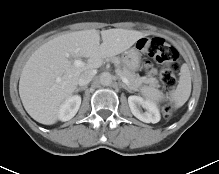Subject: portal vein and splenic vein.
Masks as SVG:
<instances>
[{
    "label": "portal vein and splenic vein",
    "mask_w": 219,
    "mask_h": 174,
    "mask_svg": "<svg viewBox=\"0 0 219 174\" xmlns=\"http://www.w3.org/2000/svg\"><path fill=\"white\" fill-rule=\"evenodd\" d=\"M84 63L81 61V60H79V59H76L75 61H74V65L75 66H77V67H80V66H82ZM122 81L125 83V84H129V81H128V79H126V78H122Z\"/></svg>",
    "instance_id": "portal-vein-and-splenic-vein-1"
}]
</instances>
